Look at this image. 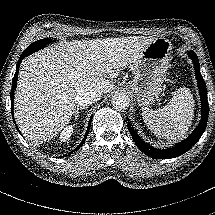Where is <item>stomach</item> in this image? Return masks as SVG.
Listing matches in <instances>:
<instances>
[{"instance_id": "0dacf381", "label": "stomach", "mask_w": 215, "mask_h": 215, "mask_svg": "<svg viewBox=\"0 0 215 215\" xmlns=\"http://www.w3.org/2000/svg\"><path fill=\"white\" fill-rule=\"evenodd\" d=\"M171 50L168 39L157 38L130 65L133 79L129 88L140 106H150L163 91L162 84L169 68Z\"/></svg>"}]
</instances>
